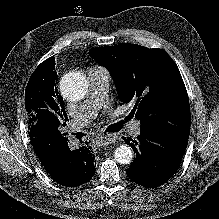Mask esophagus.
I'll use <instances>...</instances> for the list:
<instances>
[{
	"instance_id": "obj_1",
	"label": "esophagus",
	"mask_w": 219,
	"mask_h": 219,
	"mask_svg": "<svg viewBox=\"0 0 219 219\" xmlns=\"http://www.w3.org/2000/svg\"><path fill=\"white\" fill-rule=\"evenodd\" d=\"M116 141V137L114 135H100L99 142L101 145H108L110 143H114Z\"/></svg>"
}]
</instances>
